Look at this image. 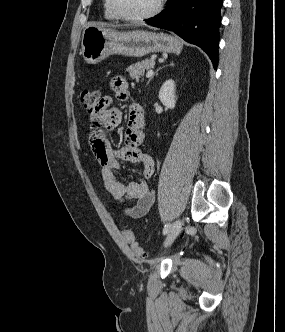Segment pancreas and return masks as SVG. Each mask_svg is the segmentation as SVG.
I'll list each match as a JSON object with an SVG mask.
<instances>
[{"label":"pancreas","mask_w":285,"mask_h":332,"mask_svg":"<svg viewBox=\"0 0 285 332\" xmlns=\"http://www.w3.org/2000/svg\"><path fill=\"white\" fill-rule=\"evenodd\" d=\"M155 62L153 59H146L141 62H137L134 65L129 67L130 77L138 80L141 78L145 70L151 69L154 66Z\"/></svg>","instance_id":"cf45deb5"}]
</instances>
